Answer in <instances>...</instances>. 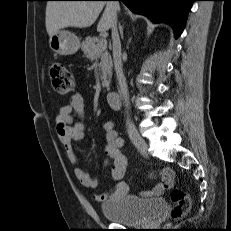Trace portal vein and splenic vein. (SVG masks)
I'll return each instance as SVG.
<instances>
[{"label": "portal vein and splenic vein", "instance_id": "18ae733b", "mask_svg": "<svg viewBox=\"0 0 231 231\" xmlns=\"http://www.w3.org/2000/svg\"><path fill=\"white\" fill-rule=\"evenodd\" d=\"M106 46H107V41L105 39V36H103L98 42V47L104 49L106 48Z\"/></svg>", "mask_w": 231, "mask_h": 231}]
</instances>
